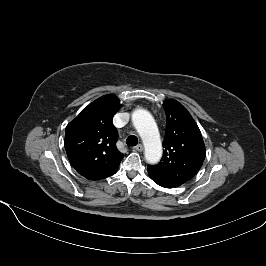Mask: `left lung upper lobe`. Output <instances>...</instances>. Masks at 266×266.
I'll use <instances>...</instances> for the list:
<instances>
[{"label":"left lung upper lobe","instance_id":"obj_1","mask_svg":"<svg viewBox=\"0 0 266 266\" xmlns=\"http://www.w3.org/2000/svg\"><path fill=\"white\" fill-rule=\"evenodd\" d=\"M166 133L163 156L157 165H149L148 173L166 188L181 186L191 180L205 159L201 132L187 109L174 99L163 103Z\"/></svg>","mask_w":266,"mask_h":266}]
</instances>
